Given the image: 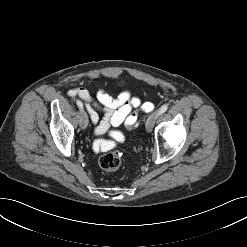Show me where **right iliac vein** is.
Here are the masks:
<instances>
[{
	"label": "right iliac vein",
	"mask_w": 247,
	"mask_h": 247,
	"mask_svg": "<svg viewBox=\"0 0 247 247\" xmlns=\"http://www.w3.org/2000/svg\"><path fill=\"white\" fill-rule=\"evenodd\" d=\"M79 123H80V127L82 129H85L88 125V115L84 110H82L80 113V122Z\"/></svg>",
	"instance_id": "right-iliac-vein-1"
}]
</instances>
